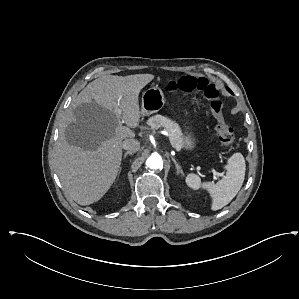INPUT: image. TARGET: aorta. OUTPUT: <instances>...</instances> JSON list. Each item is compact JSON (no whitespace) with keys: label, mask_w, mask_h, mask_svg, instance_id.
<instances>
[{"label":"aorta","mask_w":299,"mask_h":299,"mask_svg":"<svg viewBox=\"0 0 299 299\" xmlns=\"http://www.w3.org/2000/svg\"><path fill=\"white\" fill-rule=\"evenodd\" d=\"M146 166L153 170L162 169L163 168L162 157L158 154H152L146 160Z\"/></svg>","instance_id":"obj_1"}]
</instances>
